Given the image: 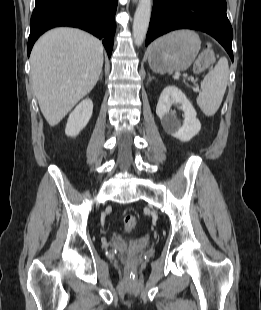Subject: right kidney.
Here are the masks:
<instances>
[{"mask_svg":"<svg viewBox=\"0 0 261 310\" xmlns=\"http://www.w3.org/2000/svg\"><path fill=\"white\" fill-rule=\"evenodd\" d=\"M93 112V103L89 98L81 101L69 115L65 134L76 137L80 131L88 124Z\"/></svg>","mask_w":261,"mask_h":310,"instance_id":"right-kidney-1","label":"right kidney"}]
</instances>
